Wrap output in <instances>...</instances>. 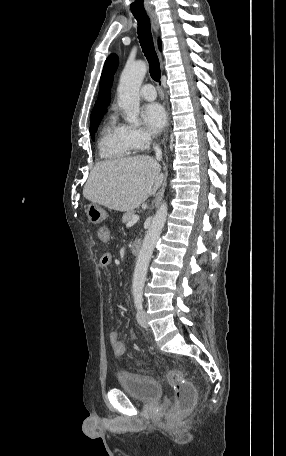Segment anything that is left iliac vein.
<instances>
[{
  "label": "left iliac vein",
  "instance_id": "4c4485c4",
  "mask_svg": "<svg viewBox=\"0 0 286 456\" xmlns=\"http://www.w3.org/2000/svg\"><path fill=\"white\" fill-rule=\"evenodd\" d=\"M136 318H137V321H138L140 326H142L143 328H147L148 327L147 315H146V312L144 310H139L137 312Z\"/></svg>",
  "mask_w": 286,
  "mask_h": 456
}]
</instances>
